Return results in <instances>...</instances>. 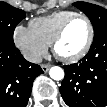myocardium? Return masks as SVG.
Instances as JSON below:
<instances>
[{
    "mask_svg": "<svg viewBox=\"0 0 107 107\" xmlns=\"http://www.w3.org/2000/svg\"><path fill=\"white\" fill-rule=\"evenodd\" d=\"M77 18H80V19H83L85 20V22L87 23L88 25V28H89V36H88V39L86 41V44L84 45V47L82 48L81 51H79L77 54L73 55V56H62L60 55L58 52H57V45L59 44V42L61 41V39L63 38V35L67 29V27L69 26V24L77 19ZM93 41H94V27H93V24L91 22V20L84 14H81V13H76L72 16H70L69 18H67L63 23L62 25L60 26V28L57 30L54 38H53V41L51 43V47H52V51L54 53V55L61 61L65 62V63H75L77 61H79L80 59H82L90 50L92 44H93Z\"/></svg>",
    "mask_w": 107,
    "mask_h": 107,
    "instance_id": "myocardium-1",
    "label": "myocardium"
}]
</instances>
